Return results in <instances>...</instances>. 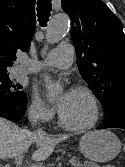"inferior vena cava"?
<instances>
[{
	"instance_id": "602c4592",
	"label": "inferior vena cava",
	"mask_w": 125,
	"mask_h": 167,
	"mask_svg": "<svg viewBox=\"0 0 125 167\" xmlns=\"http://www.w3.org/2000/svg\"><path fill=\"white\" fill-rule=\"evenodd\" d=\"M28 118H29V122L31 123V125L35 126L39 120V112L36 110L29 111ZM37 133L43 134L44 132L42 129H38Z\"/></svg>"
}]
</instances>
